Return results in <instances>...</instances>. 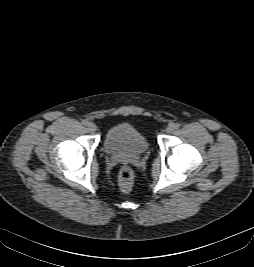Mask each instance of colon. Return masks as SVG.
<instances>
[{
	"instance_id": "5ec220e1",
	"label": "colon",
	"mask_w": 254,
	"mask_h": 267,
	"mask_svg": "<svg viewBox=\"0 0 254 267\" xmlns=\"http://www.w3.org/2000/svg\"><path fill=\"white\" fill-rule=\"evenodd\" d=\"M134 174L130 167L121 168L118 177L119 188L122 192H129L133 186Z\"/></svg>"
}]
</instances>
